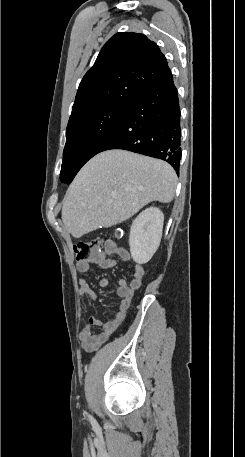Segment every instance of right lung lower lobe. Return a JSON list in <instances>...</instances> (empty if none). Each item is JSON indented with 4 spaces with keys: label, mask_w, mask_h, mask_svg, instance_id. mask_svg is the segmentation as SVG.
<instances>
[{
    "label": "right lung lower lobe",
    "mask_w": 245,
    "mask_h": 457,
    "mask_svg": "<svg viewBox=\"0 0 245 457\" xmlns=\"http://www.w3.org/2000/svg\"><path fill=\"white\" fill-rule=\"evenodd\" d=\"M180 138L179 99L171 76L147 88L135 99L100 152L124 149L162 159L179 174Z\"/></svg>",
    "instance_id": "98d812e1"
}]
</instances>
